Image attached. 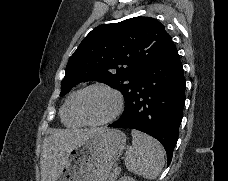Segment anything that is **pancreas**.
Wrapping results in <instances>:
<instances>
[{
  "label": "pancreas",
  "mask_w": 228,
  "mask_h": 181,
  "mask_svg": "<svg viewBox=\"0 0 228 181\" xmlns=\"http://www.w3.org/2000/svg\"><path fill=\"white\" fill-rule=\"evenodd\" d=\"M120 173L119 169H112V173L109 175V181H115Z\"/></svg>",
  "instance_id": "obj_1"
}]
</instances>
